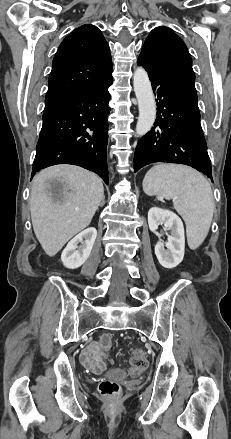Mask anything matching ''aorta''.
<instances>
[{
	"label": "aorta",
	"mask_w": 231,
	"mask_h": 439,
	"mask_svg": "<svg viewBox=\"0 0 231 439\" xmlns=\"http://www.w3.org/2000/svg\"><path fill=\"white\" fill-rule=\"evenodd\" d=\"M133 85L139 107L136 133L143 136L150 131L156 118V103L147 72L138 67L133 76Z\"/></svg>",
	"instance_id": "1"
}]
</instances>
